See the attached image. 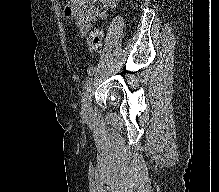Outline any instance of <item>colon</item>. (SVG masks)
I'll return each instance as SVG.
<instances>
[{"label":"colon","instance_id":"5ec220e1","mask_svg":"<svg viewBox=\"0 0 219 192\" xmlns=\"http://www.w3.org/2000/svg\"><path fill=\"white\" fill-rule=\"evenodd\" d=\"M101 45H102L101 33L98 29H93L91 31L90 49L98 50L101 47Z\"/></svg>","mask_w":219,"mask_h":192}]
</instances>
